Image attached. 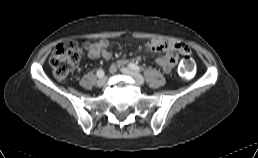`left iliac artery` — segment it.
I'll use <instances>...</instances> for the list:
<instances>
[{"label":"left iliac artery","instance_id":"1","mask_svg":"<svg viewBox=\"0 0 258 158\" xmlns=\"http://www.w3.org/2000/svg\"><path fill=\"white\" fill-rule=\"evenodd\" d=\"M128 66H129L132 70H134V71H136V72H140V71H141V68H140L138 65L134 64V63H130Z\"/></svg>","mask_w":258,"mask_h":158}]
</instances>
